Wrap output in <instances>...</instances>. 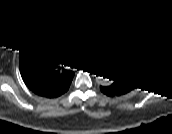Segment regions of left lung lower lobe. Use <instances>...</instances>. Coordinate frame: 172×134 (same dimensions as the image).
Returning <instances> with one entry per match:
<instances>
[{
    "instance_id": "0a47b994",
    "label": "left lung lower lobe",
    "mask_w": 172,
    "mask_h": 134,
    "mask_svg": "<svg viewBox=\"0 0 172 134\" xmlns=\"http://www.w3.org/2000/svg\"><path fill=\"white\" fill-rule=\"evenodd\" d=\"M101 91H102L103 93H105L102 89H101ZM105 94H107V93H105ZM107 95H110V94H107Z\"/></svg>"
}]
</instances>
